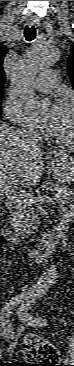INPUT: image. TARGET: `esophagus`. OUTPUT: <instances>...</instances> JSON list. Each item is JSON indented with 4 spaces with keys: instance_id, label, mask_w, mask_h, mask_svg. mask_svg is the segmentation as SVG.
Returning a JSON list of instances; mask_svg holds the SVG:
<instances>
[{
    "instance_id": "1",
    "label": "esophagus",
    "mask_w": 74,
    "mask_h": 366,
    "mask_svg": "<svg viewBox=\"0 0 74 366\" xmlns=\"http://www.w3.org/2000/svg\"><path fill=\"white\" fill-rule=\"evenodd\" d=\"M26 23L29 26H33V25H37L39 23V20L36 18H29V19H27Z\"/></svg>"
}]
</instances>
